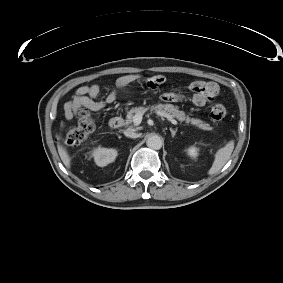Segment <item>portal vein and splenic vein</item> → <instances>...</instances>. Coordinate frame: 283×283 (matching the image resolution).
<instances>
[{"label":"portal vein and splenic vein","instance_id":"obj_1","mask_svg":"<svg viewBox=\"0 0 283 283\" xmlns=\"http://www.w3.org/2000/svg\"><path fill=\"white\" fill-rule=\"evenodd\" d=\"M142 116H143V113H137V114L134 115L133 123H134L135 126L140 125V123L142 121ZM167 118L172 124L177 125V121L173 117L168 115Z\"/></svg>","mask_w":283,"mask_h":283}]
</instances>
